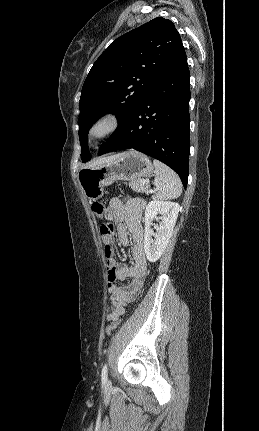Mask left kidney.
<instances>
[{"instance_id":"5707ae66","label":"left kidney","mask_w":259,"mask_h":431,"mask_svg":"<svg viewBox=\"0 0 259 431\" xmlns=\"http://www.w3.org/2000/svg\"><path fill=\"white\" fill-rule=\"evenodd\" d=\"M179 207L176 202L157 200L149 202L146 206L144 251L150 262H156L166 249L178 217ZM158 214L161 215V222L157 226V233L154 234L151 226Z\"/></svg>"}]
</instances>
